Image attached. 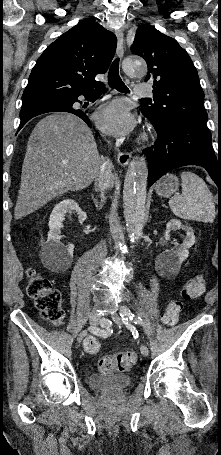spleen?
<instances>
[{
    "label": "spleen",
    "mask_w": 221,
    "mask_h": 455,
    "mask_svg": "<svg viewBox=\"0 0 221 455\" xmlns=\"http://www.w3.org/2000/svg\"><path fill=\"white\" fill-rule=\"evenodd\" d=\"M182 195H175L169 200L171 211L184 220L213 222L215 204L205 181L193 172L180 174Z\"/></svg>",
    "instance_id": "spleen-1"
}]
</instances>
